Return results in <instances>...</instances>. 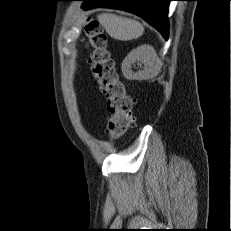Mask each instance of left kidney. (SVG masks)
<instances>
[{
  "mask_svg": "<svg viewBox=\"0 0 231 231\" xmlns=\"http://www.w3.org/2000/svg\"><path fill=\"white\" fill-rule=\"evenodd\" d=\"M140 62L144 69L138 72L132 71V64ZM122 73L127 80H150L157 76L160 71L158 57L151 45H141L133 49L122 62Z\"/></svg>",
  "mask_w": 231,
  "mask_h": 231,
  "instance_id": "left-kidney-1",
  "label": "left kidney"
}]
</instances>
